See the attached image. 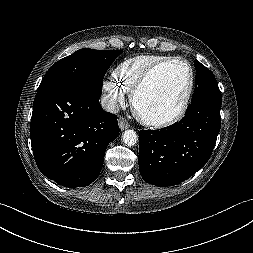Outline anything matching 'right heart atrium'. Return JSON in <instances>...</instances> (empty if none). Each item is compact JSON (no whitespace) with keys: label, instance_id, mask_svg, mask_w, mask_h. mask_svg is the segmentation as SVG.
Masks as SVG:
<instances>
[{"label":"right heart atrium","instance_id":"1","mask_svg":"<svg viewBox=\"0 0 253 253\" xmlns=\"http://www.w3.org/2000/svg\"><path fill=\"white\" fill-rule=\"evenodd\" d=\"M102 87L109 98V108L111 110H115L125 103V93L114 82L105 80Z\"/></svg>","mask_w":253,"mask_h":253}]
</instances>
